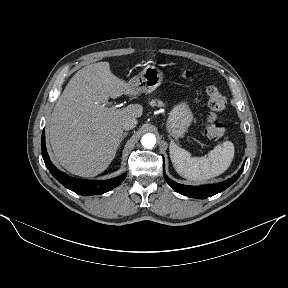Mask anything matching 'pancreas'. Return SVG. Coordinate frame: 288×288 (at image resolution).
Returning <instances> with one entry per match:
<instances>
[{
  "label": "pancreas",
  "mask_w": 288,
  "mask_h": 288,
  "mask_svg": "<svg viewBox=\"0 0 288 288\" xmlns=\"http://www.w3.org/2000/svg\"><path fill=\"white\" fill-rule=\"evenodd\" d=\"M150 105H151V106L161 107V106H164V103H163L162 101H160V100H158V101L152 100V101L150 102Z\"/></svg>",
  "instance_id": "cf45deb5"
}]
</instances>
